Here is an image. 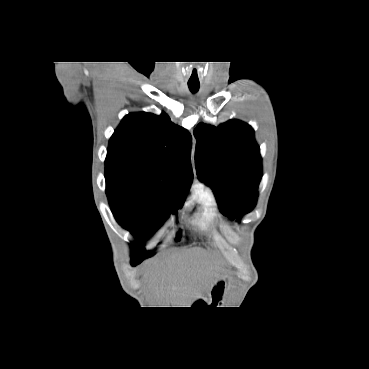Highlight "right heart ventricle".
Segmentation results:
<instances>
[{"instance_id": "obj_1", "label": "right heart ventricle", "mask_w": 369, "mask_h": 369, "mask_svg": "<svg viewBox=\"0 0 369 369\" xmlns=\"http://www.w3.org/2000/svg\"><path fill=\"white\" fill-rule=\"evenodd\" d=\"M198 205L195 214L196 223L202 228L214 225L219 217L214 195L209 190H201L195 195Z\"/></svg>"}]
</instances>
